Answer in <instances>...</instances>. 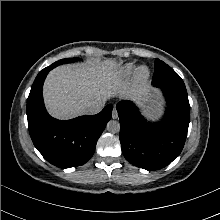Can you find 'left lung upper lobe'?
Returning <instances> with one entry per match:
<instances>
[{
  "instance_id": "obj_1",
  "label": "left lung upper lobe",
  "mask_w": 220,
  "mask_h": 220,
  "mask_svg": "<svg viewBox=\"0 0 220 220\" xmlns=\"http://www.w3.org/2000/svg\"><path fill=\"white\" fill-rule=\"evenodd\" d=\"M152 84L156 87L186 92V87L181 77L171 67L159 59L155 61Z\"/></svg>"
}]
</instances>
